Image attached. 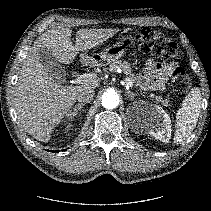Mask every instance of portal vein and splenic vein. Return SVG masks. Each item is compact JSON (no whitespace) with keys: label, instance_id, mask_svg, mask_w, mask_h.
Instances as JSON below:
<instances>
[{"label":"portal vein and splenic vein","instance_id":"1","mask_svg":"<svg viewBox=\"0 0 211 211\" xmlns=\"http://www.w3.org/2000/svg\"><path fill=\"white\" fill-rule=\"evenodd\" d=\"M93 77H95L94 74H83V75H79L76 78V82L80 84L81 82H84V81H87L89 79H92ZM125 82H126V85L128 87H133V82L128 77L125 78Z\"/></svg>","mask_w":211,"mask_h":211}]
</instances>
